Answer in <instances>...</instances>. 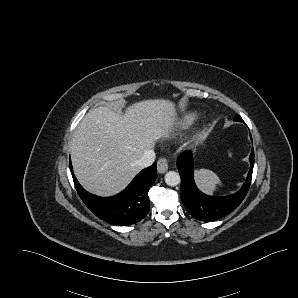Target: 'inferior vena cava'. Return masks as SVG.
I'll return each mask as SVG.
<instances>
[{"label": "inferior vena cava", "mask_w": 298, "mask_h": 298, "mask_svg": "<svg viewBox=\"0 0 298 298\" xmlns=\"http://www.w3.org/2000/svg\"><path fill=\"white\" fill-rule=\"evenodd\" d=\"M156 158V154L154 150L150 149L144 152L142 157L137 161V165H139L141 168H147L151 166Z\"/></svg>", "instance_id": "1"}]
</instances>
